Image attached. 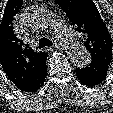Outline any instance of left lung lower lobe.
Segmentation results:
<instances>
[{"label": "left lung lower lobe", "mask_w": 113, "mask_h": 113, "mask_svg": "<svg viewBox=\"0 0 113 113\" xmlns=\"http://www.w3.org/2000/svg\"><path fill=\"white\" fill-rule=\"evenodd\" d=\"M108 69V64L92 58V61L88 66L76 69V76L84 85L95 86L106 78Z\"/></svg>", "instance_id": "0a47b994"}]
</instances>
